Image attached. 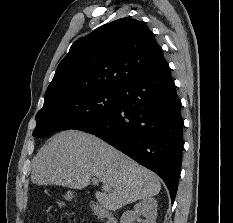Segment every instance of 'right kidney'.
Returning <instances> with one entry per match:
<instances>
[{"instance_id":"right-kidney-1","label":"right kidney","mask_w":233,"mask_h":223,"mask_svg":"<svg viewBox=\"0 0 233 223\" xmlns=\"http://www.w3.org/2000/svg\"><path fill=\"white\" fill-rule=\"evenodd\" d=\"M158 203L155 197H145L134 205V209H127L120 217V223H131L139 215H143L142 223H155L157 217Z\"/></svg>"}]
</instances>
